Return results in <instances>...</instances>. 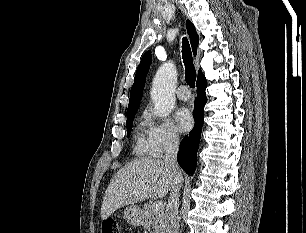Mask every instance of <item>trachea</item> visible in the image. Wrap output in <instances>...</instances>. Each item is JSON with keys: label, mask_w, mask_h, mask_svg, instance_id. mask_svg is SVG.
<instances>
[{"label": "trachea", "mask_w": 306, "mask_h": 233, "mask_svg": "<svg viewBox=\"0 0 306 233\" xmlns=\"http://www.w3.org/2000/svg\"><path fill=\"white\" fill-rule=\"evenodd\" d=\"M182 54L185 65V80L191 88H194L196 81V70L193 64L191 48L186 38L183 39Z\"/></svg>", "instance_id": "1"}]
</instances>
